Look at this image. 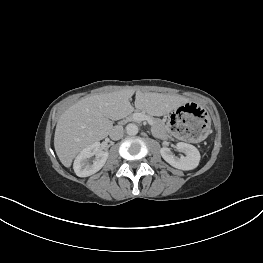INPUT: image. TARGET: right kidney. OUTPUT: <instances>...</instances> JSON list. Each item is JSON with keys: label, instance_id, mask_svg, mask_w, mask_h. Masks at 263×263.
<instances>
[{"label": "right kidney", "instance_id": "right-kidney-1", "mask_svg": "<svg viewBox=\"0 0 263 263\" xmlns=\"http://www.w3.org/2000/svg\"><path fill=\"white\" fill-rule=\"evenodd\" d=\"M100 143L95 142L84 148L74 161V171L79 177H88L98 172L106 163L109 156L108 151H102L99 149ZM96 156V159L90 161L92 156Z\"/></svg>", "mask_w": 263, "mask_h": 263}]
</instances>
